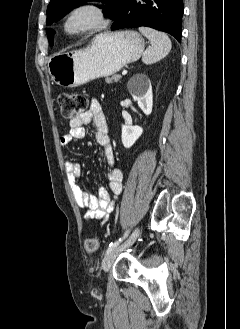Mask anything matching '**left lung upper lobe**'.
<instances>
[{"label": "left lung upper lobe", "mask_w": 240, "mask_h": 329, "mask_svg": "<svg viewBox=\"0 0 240 329\" xmlns=\"http://www.w3.org/2000/svg\"><path fill=\"white\" fill-rule=\"evenodd\" d=\"M86 1H101L109 7L103 9V13L111 19H116L124 7L126 0H51L47 7V21L48 25L61 19L66 13L81 3ZM55 31L47 29V36L50 45L54 43Z\"/></svg>", "instance_id": "5c2ea615"}]
</instances>
